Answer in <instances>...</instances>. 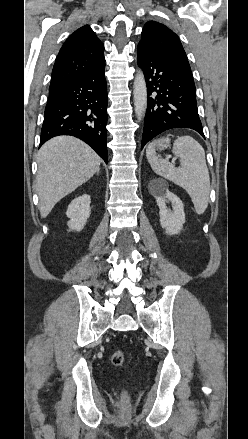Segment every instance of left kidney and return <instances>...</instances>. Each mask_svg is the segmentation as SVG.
<instances>
[{
  "label": "left kidney",
  "instance_id": "left-kidney-1",
  "mask_svg": "<svg viewBox=\"0 0 248 439\" xmlns=\"http://www.w3.org/2000/svg\"><path fill=\"white\" fill-rule=\"evenodd\" d=\"M149 191L156 199L159 207L160 224L166 234H178L185 223V213L182 201L178 196L170 192L166 185L157 186V180L149 184ZM171 202L172 210L167 208L166 203Z\"/></svg>",
  "mask_w": 248,
  "mask_h": 439
}]
</instances>
